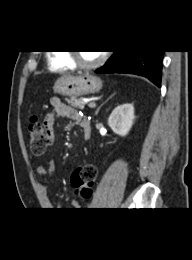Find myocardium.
Segmentation results:
<instances>
[{
	"mask_svg": "<svg viewBox=\"0 0 192 260\" xmlns=\"http://www.w3.org/2000/svg\"><path fill=\"white\" fill-rule=\"evenodd\" d=\"M68 56L72 63L75 65V67H78L82 70H93L98 68L105 62L107 54L102 53L99 59L93 63H84L80 58L79 52L74 50L68 52Z\"/></svg>",
	"mask_w": 192,
	"mask_h": 260,
	"instance_id": "1",
	"label": "myocardium"
}]
</instances>
